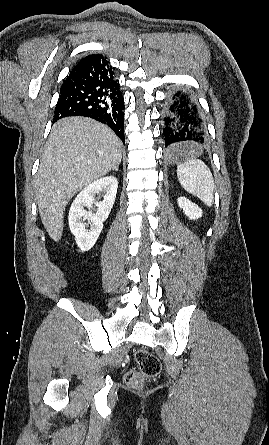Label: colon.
<instances>
[{
    "mask_svg": "<svg viewBox=\"0 0 269 445\" xmlns=\"http://www.w3.org/2000/svg\"><path fill=\"white\" fill-rule=\"evenodd\" d=\"M138 369H131L125 373L124 380L132 388H141L145 379L156 377L161 371L159 359L145 349H139L134 354Z\"/></svg>",
    "mask_w": 269,
    "mask_h": 445,
    "instance_id": "5ec220e1",
    "label": "colon"
}]
</instances>
